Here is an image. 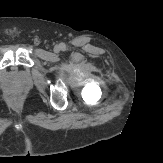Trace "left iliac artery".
Wrapping results in <instances>:
<instances>
[{"instance_id": "1", "label": "left iliac artery", "mask_w": 163, "mask_h": 163, "mask_svg": "<svg viewBox=\"0 0 163 163\" xmlns=\"http://www.w3.org/2000/svg\"><path fill=\"white\" fill-rule=\"evenodd\" d=\"M61 49H62L63 51H65V50H66V46H65L64 44H61Z\"/></svg>"}]
</instances>
